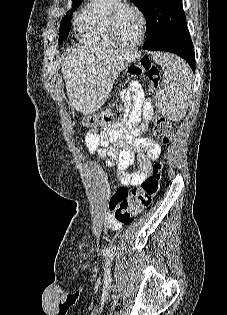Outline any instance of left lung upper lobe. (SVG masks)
Listing matches in <instances>:
<instances>
[{
    "label": "left lung upper lobe",
    "instance_id": "1",
    "mask_svg": "<svg viewBox=\"0 0 227 315\" xmlns=\"http://www.w3.org/2000/svg\"><path fill=\"white\" fill-rule=\"evenodd\" d=\"M147 20L144 44H153L186 26L182 0H131Z\"/></svg>",
    "mask_w": 227,
    "mask_h": 315
}]
</instances>
